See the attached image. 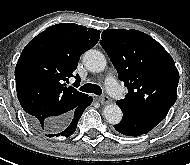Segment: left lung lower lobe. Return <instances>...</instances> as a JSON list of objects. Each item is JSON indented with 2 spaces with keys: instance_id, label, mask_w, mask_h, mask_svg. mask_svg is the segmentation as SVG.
Wrapping results in <instances>:
<instances>
[{
  "instance_id": "1",
  "label": "left lung lower lobe",
  "mask_w": 190,
  "mask_h": 165,
  "mask_svg": "<svg viewBox=\"0 0 190 165\" xmlns=\"http://www.w3.org/2000/svg\"><path fill=\"white\" fill-rule=\"evenodd\" d=\"M118 106L123 112V118L119 124L114 125V128L126 136H140L146 134L165 117L160 114L135 111L120 105Z\"/></svg>"
}]
</instances>
